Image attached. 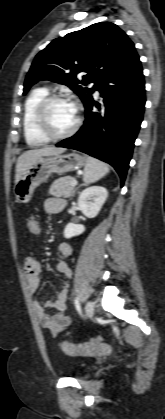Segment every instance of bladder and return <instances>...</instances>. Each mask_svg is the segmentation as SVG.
<instances>
[{
    "label": "bladder",
    "instance_id": "1",
    "mask_svg": "<svg viewBox=\"0 0 165 419\" xmlns=\"http://www.w3.org/2000/svg\"><path fill=\"white\" fill-rule=\"evenodd\" d=\"M83 376H84L85 378H86V377H89V373H85Z\"/></svg>",
    "mask_w": 165,
    "mask_h": 419
}]
</instances>
